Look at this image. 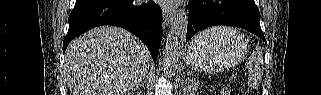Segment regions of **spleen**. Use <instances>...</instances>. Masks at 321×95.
Returning a JSON list of instances; mask_svg holds the SVG:
<instances>
[{
  "mask_svg": "<svg viewBox=\"0 0 321 95\" xmlns=\"http://www.w3.org/2000/svg\"><path fill=\"white\" fill-rule=\"evenodd\" d=\"M232 28L228 27H213L204 32L198 34V37L205 38H217L222 35L229 34L232 32ZM246 69H248L249 77H248V85L251 88H257L263 77V69H264V59L263 52L261 48L255 47L252 54L249 56L245 63Z\"/></svg>",
  "mask_w": 321,
  "mask_h": 95,
  "instance_id": "1",
  "label": "spleen"
}]
</instances>
